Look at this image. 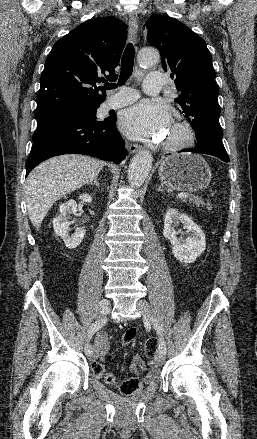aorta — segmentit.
<instances>
[{
	"label": "aorta",
	"instance_id": "1",
	"mask_svg": "<svg viewBox=\"0 0 257 439\" xmlns=\"http://www.w3.org/2000/svg\"><path fill=\"white\" fill-rule=\"evenodd\" d=\"M159 53L155 49H142L138 61L143 66H152L159 60ZM153 157L149 151L142 150L132 159L128 169L129 184L133 187L141 186L152 167Z\"/></svg>",
	"mask_w": 257,
	"mask_h": 439
}]
</instances>
